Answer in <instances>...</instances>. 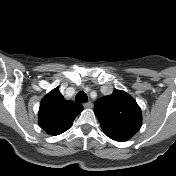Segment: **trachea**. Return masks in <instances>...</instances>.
<instances>
[{
	"label": "trachea",
	"instance_id": "trachea-1",
	"mask_svg": "<svg viewBox=\"0 0 176 176\" xmlns=\"http://www.w3.org/2000/svg\"><path fill=\"white\" fill-rule=\"evenodd\" d=\"M75 101L79 103H87L88 99L86 93L83 91L78 92L75 97Z\"/></svg>",
	"mask_w": 176,
	"mask_h": 176
}]
</instances>
